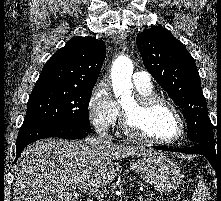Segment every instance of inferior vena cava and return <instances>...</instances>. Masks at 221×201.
<instances>
[{
	"mask_svg": "<svg viewBox=\"0 0 221 201\" xmlns=\"http://www.w3.org/2000/svg\"><path fill=\"white\" fill-rule=\"evenodd\" d=\"M99 136L101 139H105L108 137V133H107V129H102L100 132H99Z\"/></svg>",
	"mask_w": 221,
	"mask_h": 201,
	"instance_id": "obj_1",
	"label": "inferior vena cava"
}]
</instances>
